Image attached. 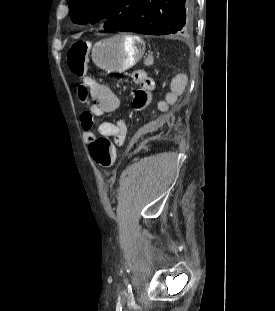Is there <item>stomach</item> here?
I'll return each mask as SVG.
<instances>
[{"instance_id": "stomach-1", "label": "stomach", "mask_w": 275, "mask_h": 311, "mask_svg": "<svg viewBox=\"0 0 275 311\" xmlns=\"http://www.w3.org/2000/svg\"><path fill=\"white\" fill-rule=\"evenodd\" d=\"M144 52L145 43L139 37L119 34L95 43L92 60L105 72L123 73L137 64Z\"/></svg>"}]
</instances>
